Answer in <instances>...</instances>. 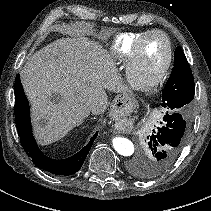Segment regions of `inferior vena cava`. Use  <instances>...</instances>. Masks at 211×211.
<instances>
[{"label": "inferior vena cava", "instance_id": "1", "mask_svg": "<svg viewBox=\"0 0 211 211\" xmlns=\"http://www.w3.org/2000/svg\"><path fill=\"white\" fill-rule=\"evenodd\" d=\"M95 106L94 102H91L90 107L93 108Z\"/></svg>", "mask_w": 211, "mask_h": 211}]
</instances>
